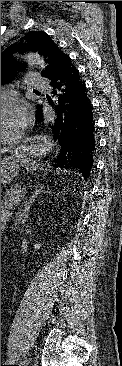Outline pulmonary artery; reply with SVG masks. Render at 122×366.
<instances>
[{
  "mask_svg": "<svg viewBox=\"0 0 122 366\" xmlns=\"http://www.w3.org/2000/svg\"><path fill=\"white\" fill-rule=\"evenodd\" d=\"M28 78L30 79V81L32 82V85L34 87L37 88H43L46 86V83L44 80H42L41 78H39L37 75L35 74H29Z\"/></svg>",
  "mask_w": 122,
  "mask_h": 366,
  "instance_id": "obj_1",
  "label": "pulmonary artery"
}]
</instances>
